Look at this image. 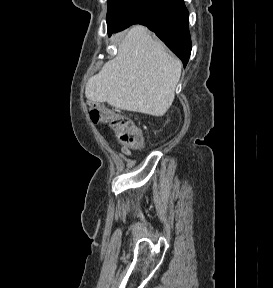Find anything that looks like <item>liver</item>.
Listing matches in <instances>:
<instances>
[{"label":"liver","instance_id":"liver-1","mask_svg":"<svg viewBox=\"0 0 273 288\" xmlns=\"http://www.w3.org/2000/svg\"><path fill=\"white\" fill-rule=\"evenodd\" d=\"M181 67L162 42L136 25L119 43L116 57L88 80L85 96L91 102L160 117L173 103Z\"/></svg>","mask_w":273,"mask_h":288}]
</instances>
